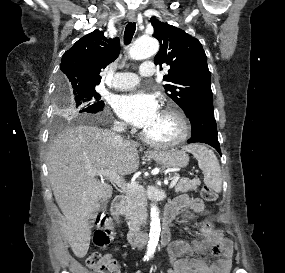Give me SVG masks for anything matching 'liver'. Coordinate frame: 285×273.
I'll list each match as a JSON object with an SVG mask.
<instances>
[{
	"mask_svg": "<svg viewBox=\"0 0 285 273\" xmlns=\"http://www.w3.org/2000/svg\"><path fill=\"white\" fill-rule=\"evenodd\" d=\"M138 144H114L94 126L67 127L51 143L47 154L49 179L55 200L66 219L65 236L73 253L83 258L89 249V219L111 197L112 187L97 180L98 171L129 175L139 168Z\"/></svg>",
	"mask_w": 285,
	"mask_h": 273,
	"instance_id": "obj_1",
	"label": "liver"
}]
</instances>
